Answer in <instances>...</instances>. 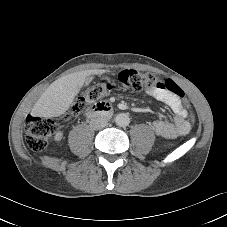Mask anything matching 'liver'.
<instances>
[{
    "label": "liver",
    "mask_w": 227,
    "mask_h": 227,
    "mask_svg": "<svg viewBox=\"0 0 227 227\" xmlns=\"http://www.w3.org/2000/svg\"><path fill=\"white\" fill-rule=\"evenodd\" d=\"M109 70H85L55 80L40 96L31 113L36 117H58L64 114L74 102L87 77L102 75Z\"/></svg>",
    "instance_id": "liver-1"
}]
</instances>
